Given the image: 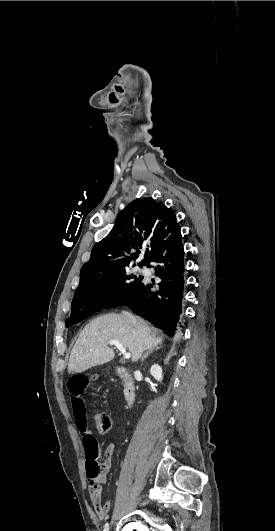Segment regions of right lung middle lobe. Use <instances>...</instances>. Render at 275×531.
I'll return each mask as SVG.
<instances>
[{
  "mask_svg": "<svg viewBox=\"0 0 275 531\" xmlns=\"http://www.w3.org/2000/svg\"><path fill=\"white\" fill-rule=\"evenodd\" d=\"M126 269L98 276L77 288L66 327L80 322L95 312L123 304L143 279L140 275L126 276ZM130 279L133 281H129Z\"/></svg>",
  "mask_w": 275,
  "mask_h": 531,
  "instance_id": "obj_1",
  "label": "right lung middle lobe"
}]
</instances>
